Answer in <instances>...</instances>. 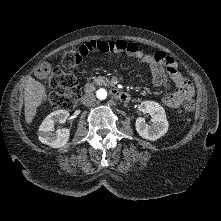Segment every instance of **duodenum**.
<instances>
[{
	"label": "duodenum",
	"instance_id": "1",
	"mask_svg": "<svg viewBox=\"0 0 221 221\" xmlns=\"http://www.w3.org/2000/svg\"><path fill=\"white\" fill-rule=\"evenodd\" d=\"M109 91L110 93L119 101L123 102V103H127L130 101L131 96L129 93L124 92L122 90H119L118 88H116L113 85H108ZM94 90V86L92 84H87L85 86V93L89 94Z\"/></svg>",
	"mask_w": 221,
	"mask_h": 221
}]
</instances>
